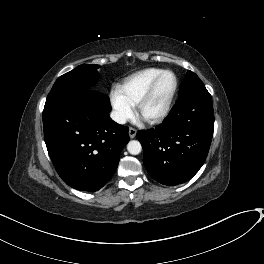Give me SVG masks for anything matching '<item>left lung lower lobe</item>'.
Returning <instances> with one entry per match:
<instances>
[{
    "instance_id": "left-lung-lower-lobe-1",
    "label": "left lung lower lobe",
    "mask_w": 264,
    "mask_h": 264,
    "mask_svg": "<svg viewBox=\"0 0 264 264\" xmlns=\"http://www.w3.org/2000/svg\"><path fill=\"white\" fill-rule=\"evenodd\" d=\"M213 131L209 92L195 91L179 97L162 124L137 132L150 176L168 186L188 181L204 164Z\"/></svg>"
}]
</instances>
